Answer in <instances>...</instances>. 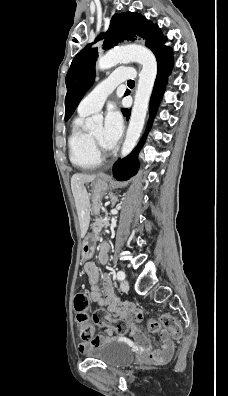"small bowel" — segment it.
<instances>
[{"instance_id": "c3829d8e", "label": "small bowel", "mask_w": 228, "mask_h": 396, "mask_svg": "<svg viewBox=\"0 0 228 396\" xmlns=\"http://www.w3.org/2000/svg\"><path fill=\"white\" fill-rule=\"evenodd\" d=\"M107 244H102L100 247L99 258L100 261L107 257ZM87 283L90 286V298L92 301L100 306L108 307L109 311L117 319L124 320L129 325L130 336L143 347L149 351L151 361L156 364H164L169 361L174 352V343L170 339L167 331L161 332L162 345L160 348H152L148 339L138 327V322L143 317L141 309L135 307L133 304L125 303L115 295L113 284L109 276L104 277L103 287L99 285V272L96 264L92 261H86L84 264ZM103 330L105 334H97V331ZM114 330L108 326L99 325L97 329H92L90 338L79 344L80 352L98 346L110 340L122 339L119 335H114Z\"/></svg>"}]
</instances>
